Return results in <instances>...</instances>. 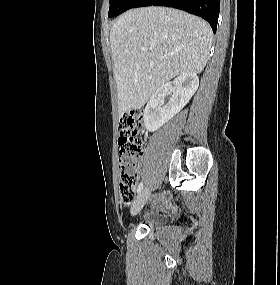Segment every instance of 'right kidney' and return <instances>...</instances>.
Instances as JSON below:
<instances>
[{
  "mask_svg": "<svg viewBox=\"0 0 280 285\" xmlns=\"http://www.w3.org/2000/svg\"><path fill=\"white\" fill-rule=\"evenodd\" d=\"M199 79L196 73L186 72L174 78L171 83L162 85L151 96L144 110V123L154 132L173 118L189 102L197 91ZM173 91L170 101L162 107L164 97Z\"/></svg>",
  "mask_w": 280,
  "mask_h": 285,
  "instance_id": "right-kidney-1",
  "label": "right kidney"
}]
</instances>
